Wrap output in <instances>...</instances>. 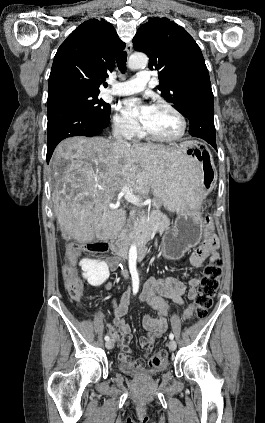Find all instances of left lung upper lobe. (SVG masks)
<instances>
[{
  "instance_id": "5c2ea615",
  "label": "left lung upper lobe",
  "mask_w": 265,
  "mask_h": 423,
  "mask_svg": "<svg viewBox=\"0 0 265 423\" xmlns=\"http://www.w3.org/2000/svg\"><path fill=\"white\" fill-rule=\"evenodd\" d=\"M135 50L149 57V68L158 70L159 90L182 114L188 95L202 85H211L202 52L185 29L173 21L151 18L133 38Z\"/></svg>"
}]
</instances>
